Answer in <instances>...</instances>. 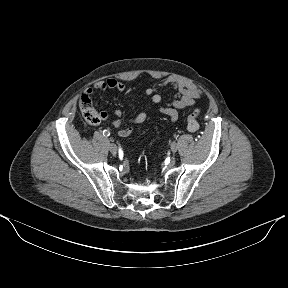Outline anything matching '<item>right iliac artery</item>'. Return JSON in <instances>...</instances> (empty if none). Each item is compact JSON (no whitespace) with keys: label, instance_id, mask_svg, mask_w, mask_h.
I'll list each match as a JSON object with an SVG mask.
<instances>
[{"label":"right iliac artery","instance_id":"right-iliac-artery-1","mask_svg":"<svg viewBox=\"0 0 288 288\" xmlns=\"http://www.w3.org/2000/svg\"><path fill=\"white\" fill-rule=\"evenodd\" d=\"M103 135L106 136V137L110 136V131L109 130H104L103 131Z\"/></svg>","mask_w":288,"mask_h":288}]
</instances>
